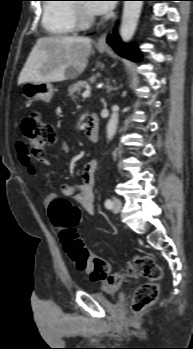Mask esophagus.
<instances>
[{
    "label": "esophagus",
    "instance_id": "obj_1",
    "mask_svg": "<svg viewBox=\"0 0 193 349\" xmlns=\"http://www.w3.org/2000/svg\"><path fill=\"white\" fill-rule=\"evenodd\" d=\"M117 16L114 17L112 23L110 24V26L104 31V33H102V35L98 38L97 42H96V46L97 47H106L107 43V35L111 32L113 24L116 20Z\"/></svg>",
    "mask_w": 193,
    "mask_h": 349
}]
</instances>
